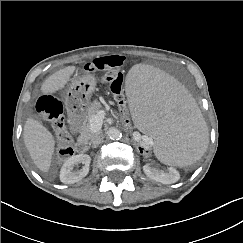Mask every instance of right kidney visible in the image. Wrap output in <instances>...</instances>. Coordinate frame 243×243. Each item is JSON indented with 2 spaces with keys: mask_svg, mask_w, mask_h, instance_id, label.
Listing matches in <instances>:
<instances>
[{
  "mask_svg": "<svg viewBox=\"0 0 243 243\" xmlns=\"http://www.w3.org/2000/svg\"><path fill=\"white\" fill-rule=\"evenodd\" d=\"M91 158L87 154H78L68 158L60 171V180L64 184H73L84 178L89 172ZM77 164H84L82 169L73 171Z\"/></svg>",
  "mask_w": 243,
  "mask_h": 243,
  "instance_id": "1",
  "label": "right kidney"
}]
</instances>
